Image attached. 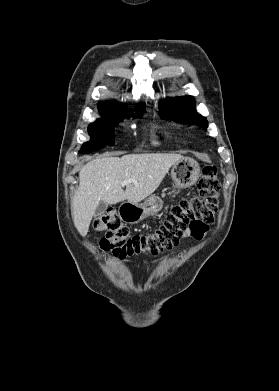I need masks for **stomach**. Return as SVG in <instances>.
Instances as JSON below:
<instances>
[{
	"label": "stomach",
	"instance_id": "stomach-1",
	"mask_svg": "<svg viewBox=\"0 0 279 391\" xmlns=\"http://www.w3.org/2000/svg\"><path fill=\"white\" fill-rule=\"evenodd\" d=\"M173 193L193 186L200 177V166L192 158H182L171 168ZM163 208V201L155 195L145 199L143 203L125 202L119 207L120 218L130 224H136L148 216L156 215Z\"/></svg>",
	"mask_w": 279,
	"mask_h": 391
}]
</instances>
